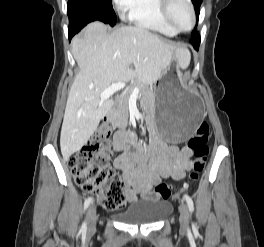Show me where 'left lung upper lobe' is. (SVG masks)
<instances>
[{"label": "left lung upper lobe", "instance_id": "obj_1", "mask_svg": "<svg viewBox=\"0 0 264 247\" xmlns=\"http://www.w3.org/2000/svg\"><path fill=\"white\" fill-rule=\"evenodd\" d=\"M192 3L194 4L195 6V12H196V16L197 18L199 17V13H200V5L202 3L203 0H191ZM200 36L198 32H196V30H194L192 32V37H198Z\"/></svg>", "mask_w": 264, "mask_h": 247}]
</instances>
